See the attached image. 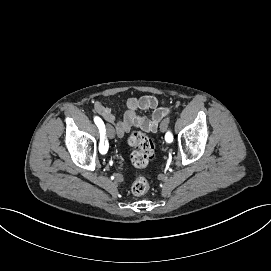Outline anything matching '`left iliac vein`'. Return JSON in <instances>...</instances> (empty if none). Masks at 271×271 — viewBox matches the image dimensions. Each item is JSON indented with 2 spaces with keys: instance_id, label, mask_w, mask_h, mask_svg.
<instances>
[{
  "instance_id": "left-iliac-vein-1",
  "label": "left iliac vein",
  "mask_w": 271,
  "mask_h": 271,
  "mask_svg": "<svg viewBox=\"0 0 271 271\" xmlns=\"http://www.w3.org/2000/svg\"><path fill=\"white\" fill-rule=\"evenodd\" d=\"M168 127V121L164 119L160 124V129L162 132L166 131Z\"/></svg>"
}]
</instances>
